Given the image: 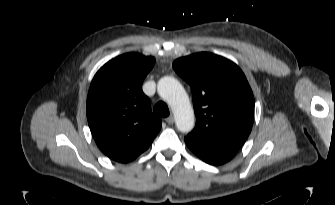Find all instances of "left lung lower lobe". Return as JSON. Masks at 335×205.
Instances as JSON below:
<instances>
[{
  "label": "left lung lower lobe",
  "instance_id": "obj_1",
  "mask_svg": "<svg viewBox=\"0 0 335 205\" xmlns=\"http://www.w3.org/2000/svg\"><path fill=\"white\" fill-rule=\"evenodd\" d=\"M185 143L198 157L212 165L224 164L237 153V150L212 147L189 137H185Z\"/></svg>",
  "mask_w": 335,
  "mask_h": 205
}]
</instances>
